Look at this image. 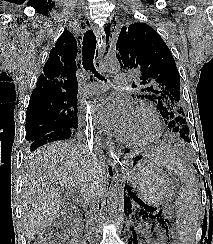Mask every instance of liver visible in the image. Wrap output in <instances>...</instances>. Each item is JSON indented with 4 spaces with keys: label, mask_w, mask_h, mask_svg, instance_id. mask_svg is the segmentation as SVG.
<instances>
[{
    "label": "liver",
    "mask_w": 213,
    "mask_h": 244,
    "mask_svg": "<svg viewBox=\"0 0 213 244\" xmlns=\"http://www.w3.org/2000/svg\"><path fill=\"white\" fill-rule=\"evenodd\" d=\"M153 155L166 159L161 152ZM105 187L106 166L101 152L90 153L86 146L71 141L39 148L23 173L22 218L26 238L31 240L53 223L61 212V190L69 189L73 196L78 194L74 197L84 205L86 198L99 199Z\"/></svg>",
    "instance_id": "obj_1"
}]
</instances>
